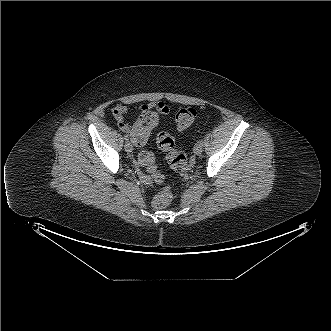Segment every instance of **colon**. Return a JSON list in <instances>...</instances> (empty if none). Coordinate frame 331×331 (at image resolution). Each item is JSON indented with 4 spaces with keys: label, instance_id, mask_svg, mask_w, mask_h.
<instances>
[{
    "label": "colon",
    "instance_id": "obj_1",
    "mask_svg": "<svg viewBox=\"0 0 331 331\" xmlns=\"http://www.w3.org/2000/svg\"><path fill=\"white\" fill-rule=\"evenodd\" d=\"M197 117V110L192 107H184L180 109L175 116V124L179 130L189 128ZM159 120L158 112L153 109L142 110L136 123V136L133 138L136 144L147 142L151 130L156 126ZM157 145L163 152L168 153V161L172 169L176 171H184L188 166L186 155L175 149V141L172 135L167 132H161L157 136ZM142 163L146 171L157 181L161 182V176L158 173L152 156H144ZM172 200L171 191L168 188H163L153 199L155 208H164Z\"/></svg>",
    "mask_w": 331,
    "mask_h": 331
}]
</instances>
